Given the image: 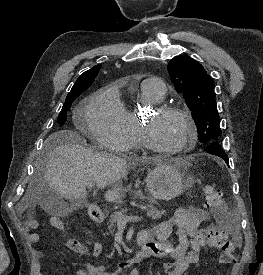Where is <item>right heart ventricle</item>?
Instances as JSON below:
<instances>
[{
	"mask_svg": "<svg viewBox=\"0 0 263 275\" xmlns=\"http://www.w3.org/2000/svg\"><path fill=\"white\" fill-rule=\"evenodd\" d=\"M140 98L144 103H157L160 101L154 92L144 84L140 89ZM122 116L128 132L127 149H134L142 145L140 136L139 117L135 109H130L122 104Z\"/></svg>",
	"mask_w": 263,
	"mask_h": 275,
	"instance_id": "right-heart-ventricle-1",
	"label": "right heart ventricle"
}]
</instances>
